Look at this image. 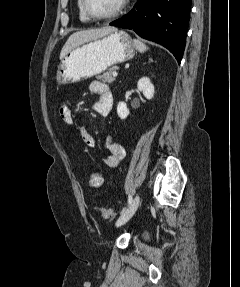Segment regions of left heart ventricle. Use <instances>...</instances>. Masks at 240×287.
<instances>
[{
	"label": "left heart ventricle",
	"mask_w": 240,
	"mask_h": 287,
	"mask_svg": "<svg viewBox=\"0 0 240 287\" xmlns=\"http://www.w3.org/2000/svg\"><path fill=\"white\" fill-rule=\"evenodd\" d=\"M121 0H89V6L96 15L111 13Z\"/></svg>",
	"instance_id": "obj_1"
}]
</instances>
